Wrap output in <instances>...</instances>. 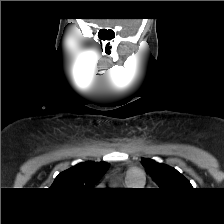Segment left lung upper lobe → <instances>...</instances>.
Instances as JSON below:
<instances>
[{"label": "left lung upper lobe", "mask_w": 224, "mask_h": 224, "mask_svg": "<svg viewBox=\"0 0 224 224\" xmlns=\"http://www.w3.org/2000/svg\"><path fill=\"white\" fill-rule=\"evenodd\" d=\"M142 161L144 162V167L160 189L165 191H182L192 188L190 182L173 167L151 159L142 158Z\"/></svg>", "instance_id": "1"}]
</instances>
